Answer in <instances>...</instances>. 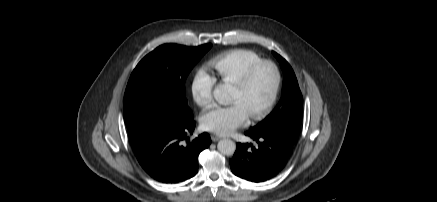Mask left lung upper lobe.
Listing matches in <instances>:
<instances>
[{"instance_id": "obj_1", "label": "left lung upper lobe", "mask_w": 437, "mask_h": 202, "mask_svg": "<svg viewBox=\"0 0 437 202\" xmlns=\"http://www.w3.org/2000/svg\"><path fill=\"white\" fill-rule=\"evenodd\" d=\"M273 54L280 62L285 75L281 100L263 121L250 130L277 134L294 144L302 120L303 97L289 63L276 52Z\"/></svg>"}]
</instances>
